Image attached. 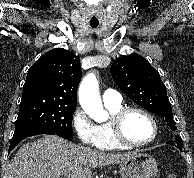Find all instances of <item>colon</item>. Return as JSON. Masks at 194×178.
I'll return each mask as SVG.
<instances>
[{
	"instance_id": "1",
	"label": "colon",
	"mask_w": 194,
	"mask_h": 178,
	"mask_svg": "<svg viewBox=\"0 0 194 178\" xmlns=\"http://www.w3.org/2000/svg\"><path fill=\"white\" fill-rule=\"evenodd\" d=\"M167 178H180V177L175 173H170Z\"/></svg>"
}]
</instances>
